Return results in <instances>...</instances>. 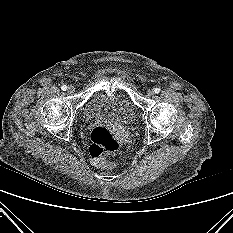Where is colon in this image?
<instances>
[{
  "label": "colon",
  "mask_w": 233,
  "mask_h": 233,
  "mask_svg": "<svg viewBox=\"0 0 233 233\" xmlns=\"http://www.w3.org/2000/svg\"><path fill=\"white\" fill-rule=\"evenodd\" d=\"M89 153L92 162L101 168H113L115 165L106 162V158L115 154L120 148V140L113 131L103 125L95 126L90 134Z\"/></svg>",
  "instance_id": "5ec220e1"
}]
</instances>
